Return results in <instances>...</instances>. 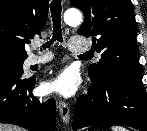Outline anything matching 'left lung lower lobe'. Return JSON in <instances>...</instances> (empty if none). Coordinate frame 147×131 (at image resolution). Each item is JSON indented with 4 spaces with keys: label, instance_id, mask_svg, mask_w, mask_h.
Wrapping results in <instances>:
<instances>
[{
    "label": "left lung lower lobe",
    "instance_id": "1",
    "mask_svg": "<svg viewBox=\"0 0 147 131\" xmlns=\"http://www.w3.org/2000/svg\"><path fill=\"white\" fill-rule=\"evenodd\" d=\"M77 102L73 130L100 124H122L147 131V99L143 84L125 78L93 81Z\"/></svg>",
    "mask_w": 147,
    "mask_h": 131
}]
</instances>
